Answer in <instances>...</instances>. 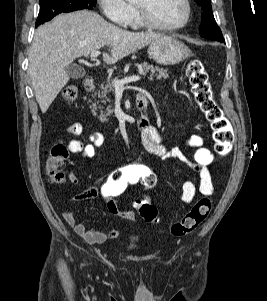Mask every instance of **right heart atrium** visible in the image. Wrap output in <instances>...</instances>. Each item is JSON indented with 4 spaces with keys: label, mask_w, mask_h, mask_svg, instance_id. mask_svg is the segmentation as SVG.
<instances>
[{
    "label": "right heart atrium",
    "mask_w": 267,
    "mask_h": 301,
    "mask_svg": "<svg viewBox=\"0 0 267 301\" xmlns=\"http://www.w3.org/2000/svg\"><path fill=\"white\" fill-rule=\"evenodd\" d=\"M102 13L116 25H130L134 16L133 7L126 0H98Z\"/></svg>",
    "instance_id": "1"
}]
</instances>
